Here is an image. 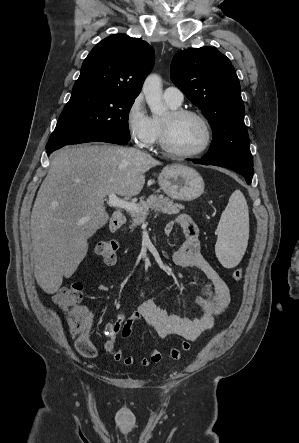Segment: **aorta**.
<instances>
[{
	"mask_svg": "<svg viewBox=\"0 0 299 443\" xmlns=\"http://www.w3.org/2000/svg\"><path fill=\"white\" fill-rule=\"evenodd\" d=\"M142 92L153 116L166 114V106L162 101V81L156 74H150L144 81Z\"/></svg>",
	"mask_w": 299,
	"mask_h": 443,
	"instance_id": "762f6f07",
	"label": "aorta"
}]
</instances>
